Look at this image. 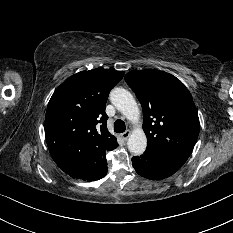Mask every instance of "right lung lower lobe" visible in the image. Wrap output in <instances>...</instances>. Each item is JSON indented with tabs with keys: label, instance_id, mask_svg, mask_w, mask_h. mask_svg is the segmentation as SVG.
Instances as JSON below:
<instances>
[{
	"label": "right lung lower lobe",
	"instance_id": "right-lung-lower-lobe-1",
	"mask_svg": "<svg viewBox=\"0 0 233 233\" xmlns=\"http://www.w3.org/2000/svg\"><path fill=\"white\" fill-rule=\"evenodd\" d=\"M107 166L104 167V169L98 173V174H91V173H79V174H69L72 178L86 180V181H94L101 179L104 177L107 173Z\"/></svg>",
	"mask_w": 233,
	"mask_h": 233
}]
</instances>
